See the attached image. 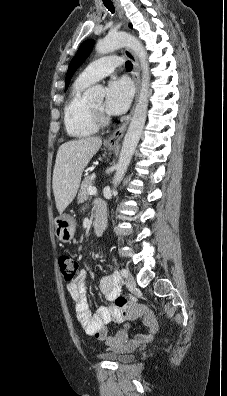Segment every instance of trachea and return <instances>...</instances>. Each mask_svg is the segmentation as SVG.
Instances as JSON below:
<instances>
[{
	"label": "trachea",
	"mask_w": 227,
	"mask_h": 396,
	"mask_svg": "<svg viewBox=\"0 0 227 396\" xmlns=\"http://www.w3.org/2000/svg\"><path fill=\"white\" fill-rule=\"evenodd\" d=\"M103 3H104V5H105V7H106L109 11H111L112 13L115 12V8H114L113 3H112L111 0H103ZM125 67H126L127 70H132L133 64H132L130 61H126Z\"/></svg>",
	"instance_id": "3493384b"
}]
</instances>
